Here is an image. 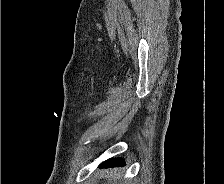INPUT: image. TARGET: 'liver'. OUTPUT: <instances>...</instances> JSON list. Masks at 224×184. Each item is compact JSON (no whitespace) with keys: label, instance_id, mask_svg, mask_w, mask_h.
Here are the masks:
<instances>
[{"label":"liver","instance_id":"obj_1","mask_svg":"<svg viewBox=\"0 0 224 184\" xmlns=\"http://www.w3.org/2000/svg\"><path fill=\"white\" fill-rule=\"evenodd\" d=\"M120 176L121 174L117 171V169H114L113 171H111L110 176L108 174L106 177H108L112 181L111 184H119Z\"/></svg>","mask_w":224,"mask_h":184}]
</instances>
